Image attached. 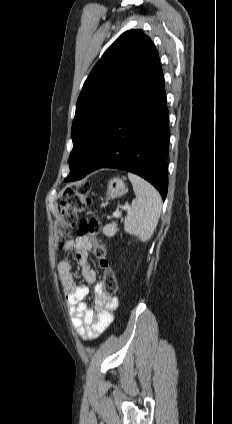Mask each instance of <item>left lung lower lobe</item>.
<instances>
[{"instance_id": "obj_1", "label": "left lung lower lobe", "mask_w": 232, "mask_h": 424, "mask_svg": "<svg viewBox=\"0 0 232 424\" xmlns=\"http://www.w3.org/2000/svg\"><path fill=\"white\" fill-rule=\"evenodd\" d=\"M169 138L164 77L158 64L108 129L86 174L107 167L126 170L149 181L165 200Z\"/></svg>"}]
</instances>
